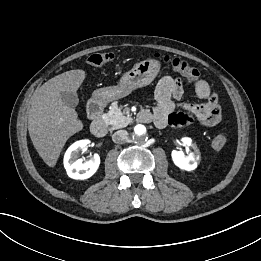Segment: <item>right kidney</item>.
I'll list each match as a JSON object with an SVG mask.
<instances>
[{"instance_id":"1","label":"right kidney","mask_w":261,"mask_h":261,"mask_svg":"<svg viewBox=\"0 0 261 261\" xmlns=\"http://www.w3.org/2000/svg\"><path fill=\"white\" fill-rule=\"evenodd\" d=\"M89 140H79L73 143L64 155V167L70 178L73 179H88L99 168L100 157L95 154L91 159L83 161L78 159L79 151L88 147Z\"/></svg>"}]
</instances>
